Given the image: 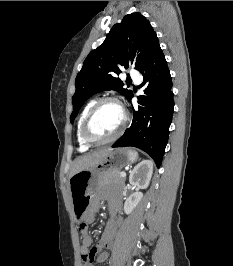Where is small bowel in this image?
<instances>
[{
	"instance_id": "obj_1",
	"label": "small bowel",
	"mask_w": 233,
	"mask_h": 266,
	"mask_svg": "<svg viewBox=\"0 0 233 266\" xmlns=\"http://www.w3.org/2000/svg\"><path fill=\"white\" fill-rule=\"evenodd\" d=\"M99 199V196H95L92 200L90 210L87 214L88 222H92L94 220L95 214L99 206ZM108 200L111 204L113 212L116 213L120 205L119 200L117 198H108ZM119 222L120 220L118 217L110 220L102 234L101 239L94 246H91L92 239L88 234L87 229L82 231L83 238L81 244V254L82 259L85 263L84 266H93L95 262L103 263L108 259V253L103 250L105 248H109L112 245ZM88 254L92 255V260L90 263H86L84 260V256Z\"/></svg>"
}]
</instances>
